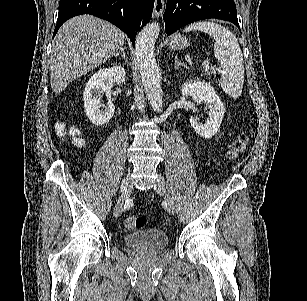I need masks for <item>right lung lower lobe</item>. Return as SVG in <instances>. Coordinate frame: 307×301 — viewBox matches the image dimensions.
Instances as JSON below:
<instances>
[{
	"instance_id": "obj_1",
	"label": "right lung lower lobe",
	"mask_w": 307,
	"mask_h": 301,
	"mask_svg": "<svg viewBox=\"0 0 307 301\" xmlns=\"http://www.w3.org/2000/svg\"><path fill=\"white\" fill-rule=\"evenodd\" d=\"M153 6L154 0H60L54 36L66 20L91 14L119 27L134 45L138 30L150 21Z\"/></svg>"
}]
</instances>
